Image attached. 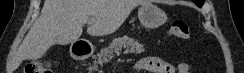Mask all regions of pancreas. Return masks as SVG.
I'll list each match as a JSON object with an SVG mask.
<instances>
[{"label":"pancreas","instance_id":"1","mask_svg":"<svg viewBox=\"0 0 244 73\" xmlns=\"http://www.w3.org/2000/svg\"><path fill=\"white\" fill-rule=\"evenodd\" d=\"M124 50L125 53H142L144 51L143 45L135 41L134 39L123 36L114 39L108 47L102 49L94 59L97 61L94 62V65L102 66L104 63H108L113 57L114 54H120Z\"/></svg>","mask_w":244,"mask_h":73}]
</instances>
